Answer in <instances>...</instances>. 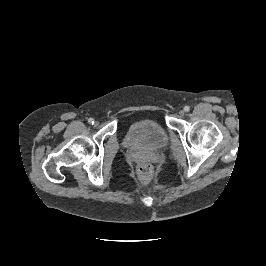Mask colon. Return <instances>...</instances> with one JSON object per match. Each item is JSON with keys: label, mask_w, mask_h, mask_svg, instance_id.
Returning a JSON list of instances; mask_svg holds the SVG:
<instances>
[{"label": "colon", "mask_w": 266, "mask_h": 266, "mask_svg": "<svg viewBox=\"0 0 266 266\" xmlns=\"http://www.w3.org/2000/svg\"><path fill=\"white\" fill-rule=\"evenodd\" d=\"M138 177L142 181H147L152 175V166L148 162H141L137 167Z\"/></svg>", "instance_id": "1"}]
</instances>
